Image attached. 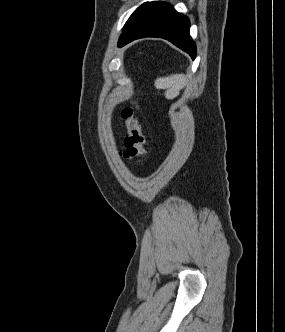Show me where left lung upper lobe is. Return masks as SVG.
Returning a JSON list of instances; mask_svg holds the SVG:
<instances>
[{
    "label": "left lung upper lobe",
    "mask_w": 285,
    "mask_h": 332,
    "mask_svg": "<svg viewBox=\"0 0 285 332\" xmlns=\"http://www.w3.org/2000/svg\"><path fill=\"white\" fill-rule=\"evenodd\" d=\"M149 4V2H146L142 4L139 8L136 9V11L130 16L128 21L126 22L123 30L131 23V21L138 16V14Z\"/></svg>",
    "instance_id": "obj_1"
}]
</instances>
